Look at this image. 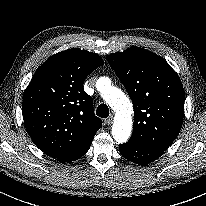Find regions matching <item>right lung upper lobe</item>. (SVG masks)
I'll list each match as a JSON object with an SVG mask.
<instances>
[{"instance_id": "cb5924a9", "label": "right lung upper lobe", "mask_w": 206, "mask_h": 206, "mask_svg": "<svg viewBox=\"0 0 206 206\" xmlns=\"http://www.w3.org/2000/svg\"><path fill=\"white\" fill-rule=\"evenodd\" d=\"M102 58L77 48L48 58L25 90L22 113L27 133L45 154L60 160L92 143L102 127L85 93V78Z\"/></svg>"}]
</instances>
